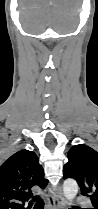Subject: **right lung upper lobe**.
<instances>
[{
	"instance_id": "obj_1",
	"label": "right lung upper lobe",
	"mask_w": 98,
	"mask_h": 209,
	"mask_svg": "<svg viewBox=\"0 0 98 209\" xmlns=\"http://www.w3.org/2000/svg\"><path fill=\"white\" fill-rule=\"evenodd\" d=\"M33 151L20 150L0 166V209H25L24 204L33 196L31 188H45L47 180ZM32 203L26 209H30Z\"/></svg>"
}]
</instances>
